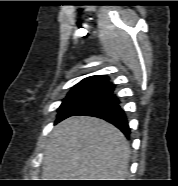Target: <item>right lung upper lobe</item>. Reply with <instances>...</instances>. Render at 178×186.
Wrapping results in <instances>:
<instances>
[{"label": "right lung upper lobe", "instance_id": "right-lung-upper-lobe-1", "mask_svg": "<svg viewBox=\"0 0 178 186\" xmlns=\"http://www.w3.org/2000/svg\"><path fill=\"white\" fill-rule=\"evenodd\" d=\"M87 85H109L114 86L113 84L109 83V78L104 75H96V76H90L85 79H83L81 82L75 85V87L78 86H87Z\"/></svg>", "mask_w": 178, "mask_h": 186}]
</instances>
